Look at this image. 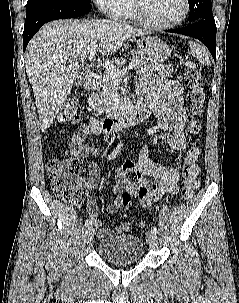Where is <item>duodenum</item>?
<instances>
[{
  "label": "duodenum",
  "mask_w": 239,
  "mask_h": 303,
  "mask_svg": "<svg viewBox=\"0 0 239 303\" xmlns=\"http://www.w3.org/2000/svg\"><path fill=\"white\" fill-rule=\"evenodd\" d=\"M98 75L96 72H89L87 75L84 87L87 90H92L97 86ZM151 109L146 105H141L135 109L119 111L115 114H110L102 118L99 122V127L103 132L110 133L118 131L128 125H136L144 121L150 115Z\"/></svg>",
  "instance_id": "410a0bca"
}]
</instances>
